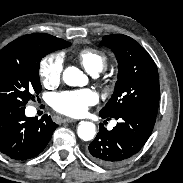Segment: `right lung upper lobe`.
I'll return each instance as SVG.
<instances>
[{"instance_id": "right-lung-upper-lobe-1", "label": "right lung upper lobe", "mask_w": 183, "mask_h": 183, "mask_svg": "<svg viewBox=\"0 0 183 183\" xmlns=\"http://www.w3.org/2000/svg\"><path fill=\"white\" fill-rule=\"evenodd\" d=\"M69 42L45 33L22 36L9 43L0 51V60L21 57L32 48L45 49L48 53L67 47Z\"/></svg>"}]
</instances>
